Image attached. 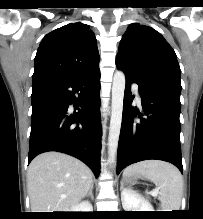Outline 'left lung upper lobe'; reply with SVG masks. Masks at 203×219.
<instances>
[{
    "mask_svg": "<svg viewBox=\"0 0 203 219\" xmlns=\"http://www.w3.org/2000/svg\"><path fill=\"white\" fill-rule=\"evenodd\" d=\"M116 65L139 81L181 90L176 54L164 37L149 26L129 25L120 43Z\"/></svg>",
    "mask_w": 203,
    "mask_h": 219,
    "instance_id": "1",
    "label": "left lung upper lobe"
}]
</instances>
